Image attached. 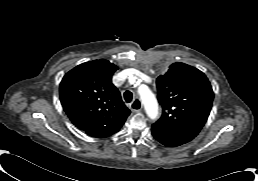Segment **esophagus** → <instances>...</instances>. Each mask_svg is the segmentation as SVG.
Here are the masks:
<instances>
[{"mask_svg": "<svg viewBox=\"0 0 258 181\" xmlns=\"http://www.w3.org/2000/svg\"><path fill=\"white\" fill-rule=\"evenodd\" d=\"M131 110L133 112H139L142 110V103L140 99L136 98L132 103H131Z\"/></svg>", "mask_w": 258, "mask_h": 181, "instance_id": "obj_1", "label": "esophagus"}]
</instances>
